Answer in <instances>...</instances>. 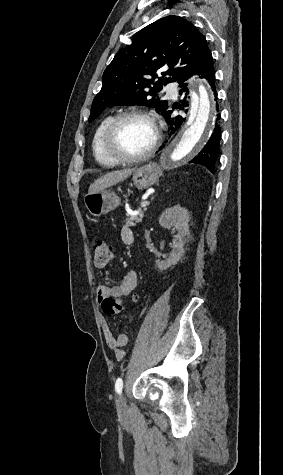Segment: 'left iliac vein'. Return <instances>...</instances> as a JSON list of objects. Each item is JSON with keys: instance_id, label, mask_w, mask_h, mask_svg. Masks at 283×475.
<instances>
[{"instance_id": "4c4485c4", "label": "left iliac vein", "mask_w": 283, "mask_h": 475, "mask_svg": "<svg viewBox=\"0 0 283 475\" xmlns=\"http://www.w3.org/2000/svg\"><path fill=\"white\" fill-rule=\"evenodd\" d=\"M116 404H117L119 414L121 416H124V414H125L124 410L126 408V402H125V398L122 394L118 395L117 400H116Z\"/></svg>"}]
</instances>
